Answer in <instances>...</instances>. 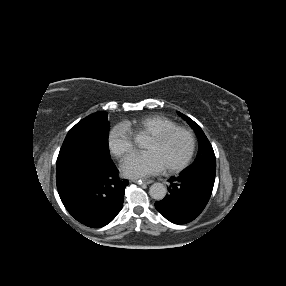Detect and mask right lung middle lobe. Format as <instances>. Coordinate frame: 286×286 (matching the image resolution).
I'll return each mask as SVG.
<instances>
[{
    "mask_svg": "<svg viewBox=\"0 0 286 286\" xmlns=\"http://www.w3.org/2000/svg\"><path fill=\"white\" fill-rule=\"evenodd\" d=\"M108 131L106 112H96L82 119L69 130L60 149L57 163L69 157L84 155L110 159Z\"/></svg>",
    "mask_w": 286,
    "mask_h": 286,
    "instance_id": "dd1d6c3e",
    "label": "right lung middle lobe"
}]
</instances>
